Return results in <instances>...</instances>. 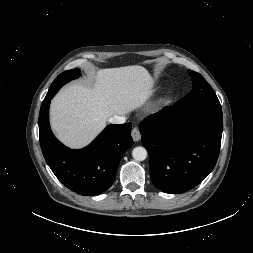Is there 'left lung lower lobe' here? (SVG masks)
<instances>
[{
    "mask_svg": "<svg viewBox=\"0 0 253 253\" xmlns=\"http://www.w3.org/2000/svg\"><path fill=\"white\" fill-rule=\"evenodd\" d=\"M139 129L153 184L165 193H184L200 184L217 162L222 110L175 103L144 119Z\"/></svg>",
    "mask_w": 253,
    "mask_h": 253,
    "instance_id": "1",
    "label": "left lung lower lobe"
}]
</instances>
